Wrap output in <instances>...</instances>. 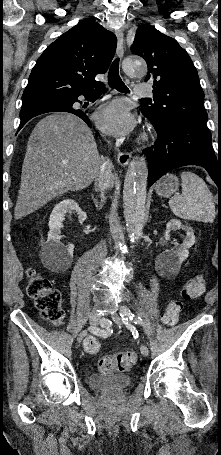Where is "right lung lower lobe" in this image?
Here are the masks:
<instances>
[{
    "instance_id": "1",
    "label": "right lung lower lobe",
    "mask_w": 221,
    "mask_h": 455,
    "mask_svg": "<svg viewBox=\"0 0 221 455\" xmlns=\"http://www.w3.org/2000/svg\"><path fill=\"white\" fill-rule=\"evenodd\" d=\"M95 87H85L80 91L73 93L70 97L62 100V101H55V102H46L41 104L32 105L26 108H22L20 111V126L18 131L28 122L31 118L38 116L40 114L48 113V112H68L77 115L81 119H83L89 126L91 123L88 119L86 111L80 109H74L73 103L80 102L78 97L84 95L86 98H93L95 93L98 90L103 88V84L101 85H94Z\"/></svg>"
}]
</instances>
